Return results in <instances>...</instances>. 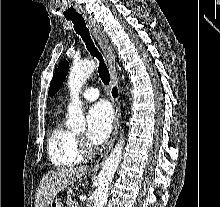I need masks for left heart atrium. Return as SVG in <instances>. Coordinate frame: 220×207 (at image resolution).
Here are the masks:
<instances>
[{
  "mask_svg": "<svg viewBox=\"0 0 220 207\" xmlns=\"http://www.w3.org/2000/svg\"><path fill=\"white\" fill-rule=\"evenodd\" d=\"M113 123V112L105 101L95 103L87 114L86 137L93 145L103 143L109 136Z\"/></svg>",
  "mask_w": 220,
  "mask_h": 207,
  "instance_id": "1",
  "label": "left heart atrium"
}]
</instances>
